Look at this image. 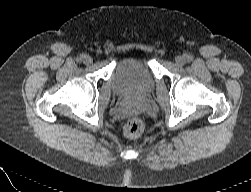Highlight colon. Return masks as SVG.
Masks as SVG:
<instances>
[{
    "label": "colon",
    "mask_w": 251,
    "mask_h": 192,
    "mask_svg": "<svg viewBox=\"0 0 251 192\" xmlns=\"http://www.w3.org/2000/svg\"><path fill=\"white\" fill-rule=\"evenodd\" d=\"M144 130L142 121L139 118H131L124 127V134L127 138L134 139L139 137Z\"/></svg>",
    "instance_id": "colon-1"
}]
</instances>
